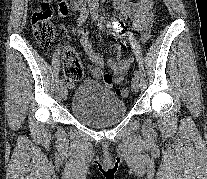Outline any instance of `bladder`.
Returning a JSON list of instances; mask_svg holds the SVG:
<instances>
[{
  "instance_id": "1",
  "label": "bladder",
  "mask_w": 207,
  "mask_h": 179,
  "mask_svg": "<svg viewBox=\"0 0 207 179\" xmlns=\"http://www.w3.org/2000/svg\"><path fill=\"white\" fill-rule=\"evenodd\" d=\"M71 111L84 124L103 127L121 120L127 105L116 92L92 80H85L74 92Z\"/></svg>"
}]
</instances>
